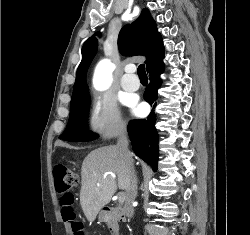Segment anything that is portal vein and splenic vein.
Instances as JSON below:
<instances>
[{
    "label": "portal vein and splenic vein",
    "mask_w": 250,
    "mask_h": 235,
    "mask_svg": "<svg viewBox=\"0 0 250 235\" xmlns=\"http://www.w3.org/2000/svg\"><path fill=\"white\" fill-rule=\"evenodd\" d=\"M124 198H125V195H124L123 192H121V193L119 194V200L122 202V201H124Z\"/></svg>",
    "instance_id": "portal-vein-and-splenic-vein-1"
}]
</instances>
